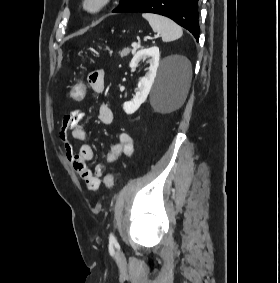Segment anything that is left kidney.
<instances>
[{
	"mask_svg": "<svg viewBox=\"0 0 280 283\" xmlns=\"http://www.w3.org/2000/svg\"><path fill=\"white\" fill-rule=\"evenodd\" d=\"M146 57H150V59L147 61L149 63L148 72L144 77L140 79L138 83V91L136 92V95L133 97V99L123 104V110L126 114H133L139 109L141 104L144 103L147 99L154 83L160 60V52L157 46L139 50L132 58L129 66L131 68L136 67L138 63L142 60H145ZM169 59H179L183 61L184 64L187 62L185 58L179 56H172ZM184 64L182 65V67L184 66Z\"/></svg>",
	"mask_w": 280,
	"mask_h": 283,
	"instance_id": "1",
	"label": "left kidney"
}]
</instances>
